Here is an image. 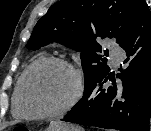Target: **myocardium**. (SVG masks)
I'll return each instance as SVG.
<instances>
[{
	"label": "myocardium",
	"mask_w": 151,
	"mask_h": 131,
	"mask_svg": "<svg viewBox=\"0 0 151 131\" xmlns=\"http://www.w3.org/2000/svg\"><path fill=\"white\" fill-rule=\"evenodd\" d=\"M47 64H57V65H60L64 68H66L70 72V74L72 75L73 80H74L73 90H72L69 98L67 99V101L58 109L51 111V112H46V113L30 112V111L26 110L23 105V98H24L27 81H28L31 73L35 69H37L41 66L47 65ZM83 89H84V85H83L82 75H81L80 71L73 64H71L69 61H67L63 58H59V57H53V56L44 57V58H41V59L33 62L23 73V76H22V79L20 82V86H19V91H18L17 98H16L17 110L22 117H26V118H31V119L55 118V117H58V116H61L65 113H67L69 110H71L76 105V103L79 101V99L81 98V96L83 94Z\"/></svg>",
	"instance_id": "f54148a6"
}]
</instances>
